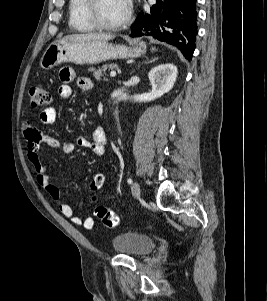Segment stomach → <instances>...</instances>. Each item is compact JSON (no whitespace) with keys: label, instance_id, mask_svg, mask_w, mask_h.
I'll use <instances>...</instances> for the list:
<instances>
[{"label":"stomach","instance_id":"0dacf381","mask_svg":"<svg viewBox=\"0 0 267 301\" xmlns=\"http://www.w3.org/2000/svg\"><path fill=\"white\" fill-rule=\"evenodd\" d=\"M146 47L141 42H134L130 47L113 45L107 41H71L62 39L51 43L40 60V67L49 70L59 64H97L118 58H135L145 53Z\"/></svg>","mask_w":267,"mask_h":301}]
</instances>
